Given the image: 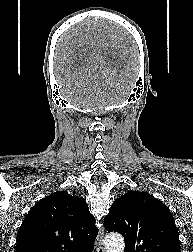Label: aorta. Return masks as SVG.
<instances>
[{
	"label": "aorta",
	"instance_id": "obj_1",
	"mask_svg": "<svg viewBox=\"0 0 193 252\" xmlns=\"http://www.w3.org/2000/svg\"><path fill=\"white\" fill-rule=\"evenodd\" d=\"M107 252H123L125 243L124 238L119 234H110L105 238Z\"/></svg>",
	"mask_w": 193,
	"mask_h": 252
}]
</instances>
